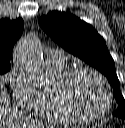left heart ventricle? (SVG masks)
Returning <instances> with one entry per match:
<instances>
[{"label": "left heart ventricle", "instance_id": "obj_1", "mask_svg": "<svg viewBox=\"0 0 125 128\" xmlns=\"http://www.w3.org/2000/svg\"><path fill=\"white\" fill-rule=\"evenodd\" d=\"M72 98L86 114H98L106 105V95L101 82L89 73L81 74L73 83Z\"/></svg>", "mask_w": 125, "mask_h": 128}]
</instances>
